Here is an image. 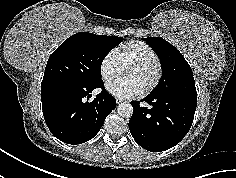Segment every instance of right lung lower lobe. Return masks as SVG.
<instances>
[{"label":"right lung lower lobe","mask_w":236,"mask_h":178,"mask_svg":"<svg viewBox=\"0 0 236 178\" xmlns=\"http://www.w3.org/2000/svg\"><path fill=\"white\" fill-rule=\"evenodd\" d=\"M102 88L92 102V91ZM41 101L45 122L60 141L72 145L92 139L101 129L105 118L116 107V100L104 84L85 85L62 80L41 84Z\"/></svg>","instance_id":"right-lung-lower-lobe-1"}]
</instances>
